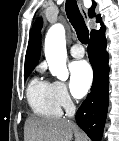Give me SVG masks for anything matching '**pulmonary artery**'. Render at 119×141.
<instances>
[{"label":"pulmonary artery","instance_id":"e3ab8cb5","mask_svg":"<svg viewBox=\"0 0 119 141\" xmlns=\"http://www.w3.org/2000/svg\"><path fill=\"white\" fill-rule=\"evenodd\" d=\"M70 54L74 58H82L85 54L84 48L80 44H75L70 48Z\"/></svg>","mask_w":119,"mask_h":141}]
</instances>
